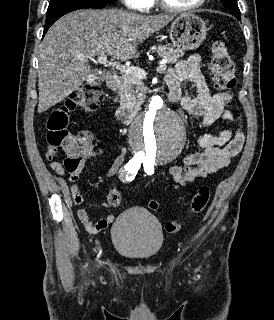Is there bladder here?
I'll return each mask as SVG.
<instances>
[{
    "instance_id": "1",
    "label": "bladder",
    "mask_w": 274,
    "mask_h": 320,
    "mask_svg": "<svg viewBox=\"0 0 274 320\" xmlns=\"http://www.w3.org/2000/svg\"><path fill=\"white\" fill-rule=\"evenodd\" d=\"M111 235L119 254L139 261L156 256L164 243L160 223L143 208H130L119 214L112 225Z\"/></svg>"
}]
</instances>
